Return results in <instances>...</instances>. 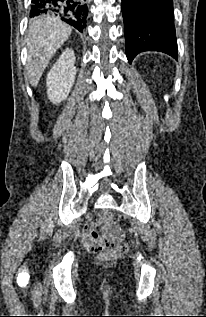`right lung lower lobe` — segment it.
I'll list each match as a JSON object with an SVG mask.
<instances>
[{"label": "right lung lower lobe", "instance_id": "1", "mask_svg": "<svg viewBox=\"0 0 206 317\" xmlns=\"http://www.w3.org/2000/svg\"><path fill=\"white\" fill-rule=\"evenodd\" d=\"M86 0H32L30 17L54 13L80 32L86 28Z\"/></svg>", "mask_w": 206, "mask_h": 317}]
</instances>
